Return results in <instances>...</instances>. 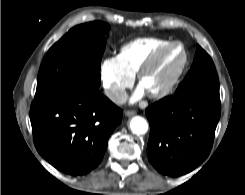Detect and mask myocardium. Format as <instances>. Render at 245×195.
I'll list each match as a JSON object with an SVG mask.
<instances>
[{"label":"myocardium","mask_w":245,"mask_h":195,"mask_svg":"<svg viewBox=\"0 0 245 195\" xmlns=\"http://www.w3.org/2000/svg\"><path fill=\"white\" fill-rule=\"evenodd\" d=\"M174 47H179L181 49L182 59L178 67L175 69V71L172 73L170 78L166 81V83L162 87H160L156 91L146 92L149 98L160 99L166 96L179 81L181 75L183 74L186 68L187 61H188L187 51L184 45L180 42L173 41L158 48L142 63V65L139 67V69L135 74L137 84L140 87L143 77L158 63V61L165 53H167L169 50H171Z\"/></svg>","instance_id":"1"}]
</instances>
